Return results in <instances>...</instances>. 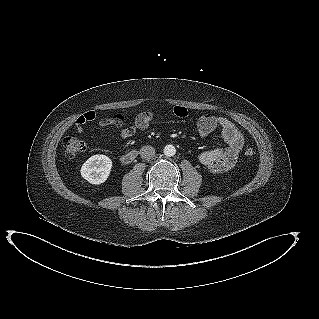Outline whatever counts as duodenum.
I'll return each mask as SVG.
<instances>
[{
    "instance_id": "1",
    "label": "duodenum",
    "mask_w": 319,
    "mask_h": 319,
    "mask_svg": "<svg viewBox=\"0 0 319 319\" xmlns=\"http://www.w3.org/2000/svg\"><path fill=\"white\" fill-rule=\"evenodd\" d=\"M136 155H137L136 151H131V152L125 154L122 157L123 163L128 164V163L132 162L135 159Z\"/></svg>"
}]
</instances>
